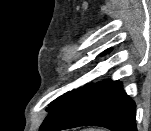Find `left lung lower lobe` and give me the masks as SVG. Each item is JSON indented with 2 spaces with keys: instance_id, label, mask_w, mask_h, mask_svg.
<instances>
[{
  "instance_id": "obj_1",
  "label": "left lung lower lobe",
  "mask_w": 151,
  "mask_h": 131,
  "mask_svg": "<svg viewBox=\"0 0 151 131\" xmlns=\"http://www.w3.org/2000/svg\"><path fill=\"white\" fill-rule=\"evenodd\" d=\"M136 106L119 81H103L67 92L45 118L39 131L100 126L111 131H137Z\"/></svg>"
}]
</instances>
